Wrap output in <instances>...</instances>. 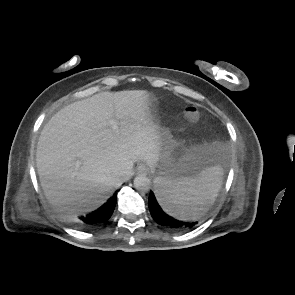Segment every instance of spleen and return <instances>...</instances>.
Returning a JSON list of instances; mask_svg holds the SVG:
<instances>
[{
    "mask_svg": "<svg viewBox=\"0 0 295 295\" xmlns=\"http://www.w3.org/2000/svg\"><path fill=\"white\" fill-rule=\"evenodd\" d=\"M223 170L213 166L197 178L155 179L157 200L171 216L191 221L199 219L214 202L221 188Z\"/></svg>",
    "mask_w": 295,
    "mask_h": 295,
    "instance_id": "3e777b00",
    "label": "spleen"
}]
</instances>
